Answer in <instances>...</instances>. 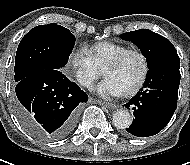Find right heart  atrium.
I'll return each instance as SVG.
<instances>
[{"mask_svg":"<svg viewBox=\"0 0 190 165\" xmlns=\"http://www.w3.org/2000/svg\"><path fill=\"white\" fill-rule=\"evenodd\" d=\"M68 66L78 83L86 88H90L101 74V69L95 63L88 49L84 47L71 52Z\"/></svg>","mask_w":190,"mask_h":165,"instance_id":"right-heart-atrium-1","label":"right heart atrium"}]
</instances>
